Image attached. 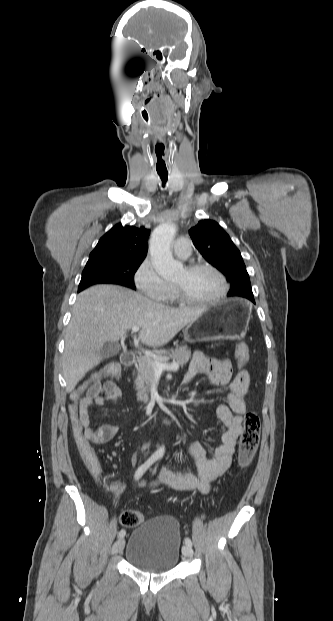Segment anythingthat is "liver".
Here are the masks:
<instances>
[{"label": "liver", "mask_w": 333, "mask_h": 621, "mask_svg": "<svg viewBox=\"0 0 333 621\" xmlns=\"http://www.w3.org/2000/svg\"><path fill=\"white\" fill-rule=\"evenodd\" d=\"M203 309L171 308L113 285H97L79 293L66 330L62 357L66 391L71 392L86 372L101 361L107 342H117L132 327L142 328V343L162 346L195 321Z\"/></svg>", "instance_id": "6515ba94"}]
</instances>
